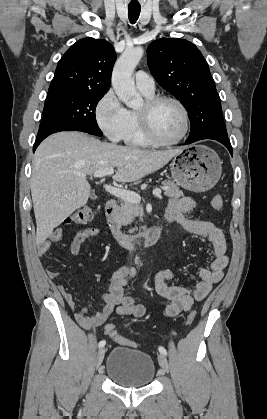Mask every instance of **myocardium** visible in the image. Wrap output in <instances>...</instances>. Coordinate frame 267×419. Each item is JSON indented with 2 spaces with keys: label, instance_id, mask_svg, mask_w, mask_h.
I'll return each instance as SVG.
<instances>
[{
  "label": "myocardium",
  "instance_id": "1",
  "mask_svg": "<svg viewBox=\"0 0 267 419\" xmlns=\"http://www.w3.org/2000/svg\"><path fill=\"white\" fill-rule=\"evenodd\" d=\"M172 102L174 103L182 112L184 126L182 133L173 140H164L157 136L155 133L152 123L151 115L154 109L162 102ZM141 130L144 136L154 145L158 146H171L181 142L187 135L190 126V117L189 112L185 105L177 98L169 95H158L152 96L146 99L144 103V108L137 112Z\"/></svg>",
  "mask_w": 267,
  "mask_h": 419
}]
</instances>
